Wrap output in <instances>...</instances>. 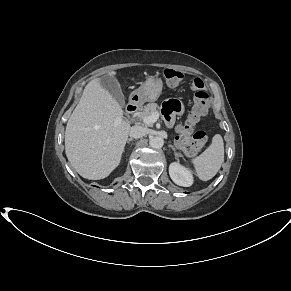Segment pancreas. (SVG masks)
Segmentation results:
<instances>
[{
    "mask_svg": "<svg viewBox=\"0 0 291 291\" xmlns=\"http://www.w3.org/2000/svg\"><path fill=\"white\" fill-rule=\"evenodd\" d=\"M159 106L157 103H149L144 107V110L139 113V117L144 119L145 117L150 116L153 112H158ZM195 155V153H192Z\"/></svg>",
    "mask_w": 291,
    "mask_h": 291,
    "instance_id": "pancreas-1",
    "label": "pancreas"
}]
</instances>
